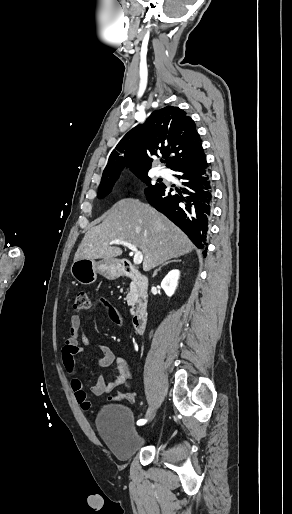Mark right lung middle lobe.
I'll list each match as a JSON object with an SVG mask.
<instances>
[{"label":"right lung middle lobe","instance_id":"obj_1","mask_svg":"<svg viewBox=\"0 0 292 514\" xmlns=\"http://www.w3.org/2000/svg\"><path fill=\"white\" fill-rule=\"evenodd\" d=\"M147 173L148 172L136 175L143 183H145L147 185V188L145 189V193H148V192L152 191L153 189H156L157 187H159L162 184V183H156V184L152 185L151 179L148 177ZM117 179H118V177L101 181L97 197L99 199H102V198L106 197L108 194H110L112 191L113 185Z\"/></svg>","mask_w":292,"mask_h":514}]
</instances>
